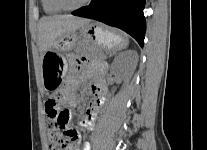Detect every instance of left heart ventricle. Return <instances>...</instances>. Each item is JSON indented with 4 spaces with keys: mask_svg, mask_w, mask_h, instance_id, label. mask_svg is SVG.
<instances>
[{
    "mask_svg": "<svg viewBox=\"0 0 207 150\" xmlns=\"http://www.w3.org/2000/svg\"><path fill=\"white\" fill-rule=\"evenodd\" d=\"M84 0H63V2L68 6H75L81 3Z\"/></svg>",
    "mask_w": 207,
    "mask_h": 150,
    "instance_id": "1",
    "label": "left heart ventricle"
}]
</instances>
